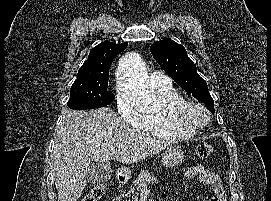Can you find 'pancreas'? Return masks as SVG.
<instances>
[{
  "label": "pancreas",
  "instance_id": "pancreas-1",
  "mask_svg": "<svg viewBox=\"0 0 271 201\" xmlns=\"http://www.w3.org/2000/svg\"><path fill=\"white\" fill-rule=\"evenodd\" d=\"M158 181V178L152 173L146 171L142 172L138 178L133 181V186L126 192L125 196L128 197V200L125 201H138V196L143 188H147V185ZM124 195H122L123 197ZM117 201H121V197L117 198Z\"/></svg>",
  "mask_w": 271,
  "mask_h": 201
}]
</instances>
